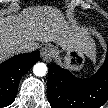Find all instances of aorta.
<instances>
[{
  "mask_svg": "<svg viewBox=\"0 0 108 108\" xmlns=\"http://www.w3.org/2000/svg\"><path fill=\"white\" fill-rule=\"evenodd\" d=\"M33 73L36 75V76H39V77H42V76H45L46 73H47V66L45 63H36L33 67Z\"/></svg>",
  "mask_w": 108,
  "mask_h": 108,
  "instance_id": "1",
  "label": "aorta"
}]
</instances>
